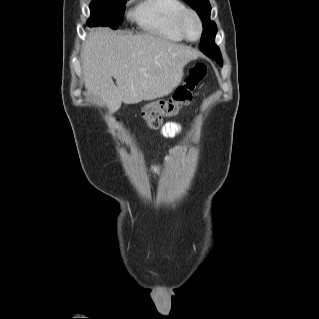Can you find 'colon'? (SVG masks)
Listing matches in <instances>:
<instances>
[{
  "label": "colon",
  "instance_id": "1",
  "mask_svg": "<svg viewBox=\"0 0 319 319\" xmlns=\"http://www.w3.org/2000/svg\"><path fill=\"white\" fill-rule=\"evenodd\" d=\"M206 65L198 62L191 67L187 76L177 86L173 97L168 102L151 103L142 109V116L147 125L156 129L164 118L178 115L181 108L191 100L192 93L206 74Z\"/></svg>",
  "mask_w": 319,
  "mask_h": 319
}]
</instances>
